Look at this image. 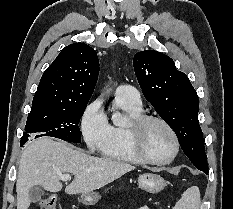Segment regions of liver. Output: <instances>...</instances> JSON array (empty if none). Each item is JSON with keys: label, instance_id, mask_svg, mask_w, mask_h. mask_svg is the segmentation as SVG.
I'll list each match as a JSON object with an SVG mask.
<instances>
[{"label": "liver", "instance_id": "1", "mask_svg": "<svg viewBox=\"0 0 233 209\" xmlns=\"http://www.w3.org/2000/svg\"><path fill=\"white\" fill-rule=\"evenodd\" d=\"M134 169L122 161L88 155L65 142L39 138L21 155L16 180L17 209L29 208V190L33 186L59 192L63 173L74 175V180L65 188V193L74 195L93 192Z\"/></svg>", "mask_w": 233, "mask_h": 209}]
</instances>
